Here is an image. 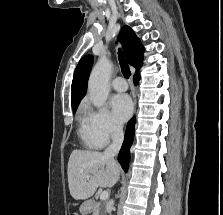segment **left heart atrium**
<instances>
[{
    "label": "left heart atrium",
    "instance_id": "1",
    "mask_svg": "<svg viewBox=\"0 0 223 215\" xmlns=\"http://www.w3.org/2000/svg\"><path fill=\"white\" fill-rule=\"evenodd\" d=\"M114 117L118 122L125 121L132 112V102L128 95L118 94L111 100Z\"/></svg>",
    "mask_w": 223,
    "mask_h": 215
}]
</instances>
